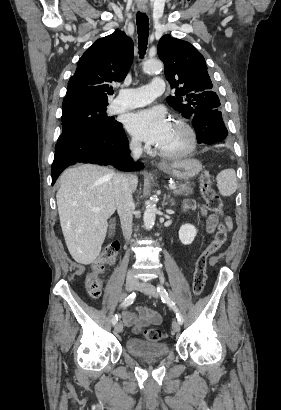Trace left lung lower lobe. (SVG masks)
Instances as JSON below:
<instances>
[{
	"label": "left lung lower lobe",
	"instance_id": "1",
	"mask_svg": "<svg viewBox=\"0 0 281 410\" xmlns=\"http://www.w3.org/2000/svg\"><path fill=\"white\" fill-rule=\"evenodd\" d=\"M192 125L196 131L198 143L221 142L228 135L219 109L196 113L192 118Z\"/></svg>",
	"mask_w": 281,
	"mask_h": 410
}]
</instances>
